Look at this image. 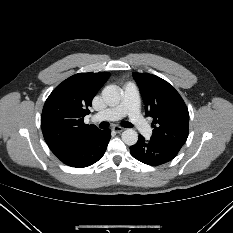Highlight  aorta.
<instances>
[{
    "label": "aorta",
    "instance_id": "1",
    "mask_svg": "<svg viewBox=\"0 0 233 233\" xmlns=\"http://www.w3.org/2000/svg\"><path fill=\"white\" fill-rule=\"evenodd\" d=\"M102 98L108 106H117L121 101V89L116 85H108L102 91ZM121 138L129 146L135 145L138 141V133L133 129L123 131Z\"/></svg>",
    "mask_w": 233,
    "mask_h": 233
}]
</instances>
